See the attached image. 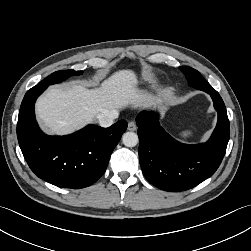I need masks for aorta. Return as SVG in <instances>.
Returning a JSON list of instances; mask_svg holds the SVG:
<instances>
[{"label": "aorta", "mask_w": 251, "mask_h": 251, "mask_svg": "<svg viewBox=\"0 0 251 251\" xmlns=\"http://www.w3.org/2000/svg\"><path fill=\"white\" fill-rule=\"evenodd\" d=\"M138 135L134 132H126L122 136V142L126 147H134L138 144Z\"/></svg>", "instance_id": "1"}]
</instances>
